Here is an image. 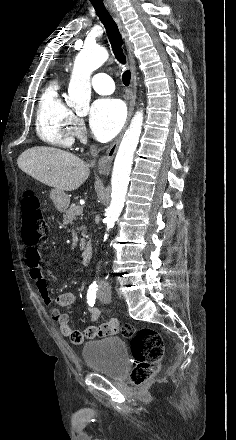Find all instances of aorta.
Masks as SVG:
<instances>
[{
    "label": "aorta",
    "instance_id": "aorta-1",
    "mask_svg": "<svg viewBox=\"0 0 236 440\" xmlns=\"http://www.w3.org/2000/svg\"><path fill=\"white\" fill-rule=\"evenodd\" d=\"M108 51L99 46H84L76 56L68 86L66 103L77 112H86L89 109L91 98V74L107 59ZM143 124V111H137L126 131L113 166L111 178V203L106 210L107 230L113 228L124 207L125 197L130 180L133 156L139 143ZM104 236V241L107 239Z\"/></svg>",
    "mask_w": 236,
    "mask_h": 440
}]
</instances>
